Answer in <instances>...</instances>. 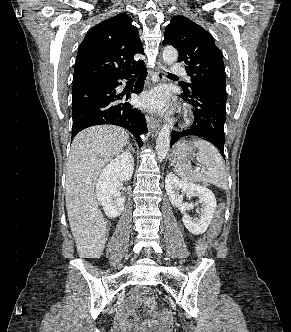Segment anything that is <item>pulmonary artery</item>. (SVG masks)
<instances>
[{"instance_id": "1", "label": "pulmonary artery", "mask_w": 291, "mask_h": 332, "mask_svg": "<svg viewBox=\"0 0 291 332\" xmlns=\"http://www.w3.org/2000/svg\"><path fill=\"white\" fill-rule=\"evenodd\" d=\"M171 71L174 73V74H183L185 75V70L184 68L180 65V64H173L172 67H171ZM187 79H189V77L187 76Z\"/></svg>"}]
</instances>
